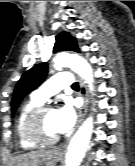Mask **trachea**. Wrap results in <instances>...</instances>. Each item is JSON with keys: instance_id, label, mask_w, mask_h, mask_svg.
I'll list each match as a JSON object with an SVG mask.
<instances>
[{"instance_id": "3493384b", "label": "trachea", "mask_w": 135, "mask_h": 166, "mask_svg": "<svg viewBox=\"0 0 135 166\" xmlns=\"http://www.w3.org/2000/svg\"><path fill=\"white\" fill-rule=\"evenodd\" d=\"M72 88L73 89H79V85L77 82H75L73 85H72Z\"/></svg>"}]
</instances>
